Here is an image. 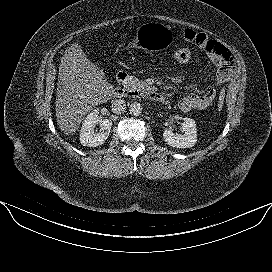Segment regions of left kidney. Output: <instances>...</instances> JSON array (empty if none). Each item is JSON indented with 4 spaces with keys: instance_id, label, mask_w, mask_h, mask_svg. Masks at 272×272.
<instances>
[{
    "instance_id": "5707ae66",
    "label": "left kidney",
    "mask_w": 272,
    "mask_h": 272,
    "mask_svg": "<svg viewBox=\"0 0 272 272\" xmlns=\"http://www.w3.org/2000/svg\"><path fill=\"white\" fill-rule=\"evenodd\" d=\"M181 130L184 132L181 134H174L172 130H165L163 132L164 141L177 148H191L195 145L197 141V129L195 121L191 118H184V123L182 124Z\"/></svg>"
}]
</instances>
